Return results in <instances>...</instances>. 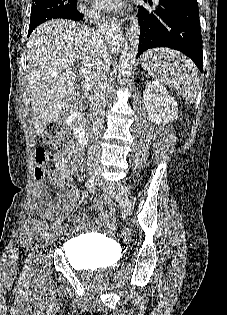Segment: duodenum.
Here are the masks:
<instances>
[{"label": "duodenum", "instance_id": "duodenum-1", "mask_svg": "<svg viewBox=\"0 0 227 315\" xmlns=\"http://www.w3.org/2000/svg\"><path fill=\"white\" fill-rule=\"evenodd\" d=\"M67 122L72 127L75 138L81 146L88 144V129L86 119L78 107H72Z\"/></svg>", "mask_w": 227, "mask_h": 315}]
</instances>
